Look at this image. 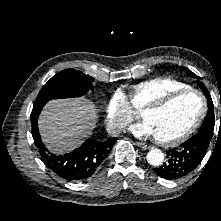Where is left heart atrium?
Wrapping results in <instances>:
<instances>
[{
    "label": "left heart atrium",
    "instance_id": "39dd6f15",
    "mask_svg": "<svg viewBox=\"0 0 221 221\" xmlns=\"http://www.w3.org/2000/svg\"><path fill=\"white\" fill-rule=\"evenodd\" d=\"M129 131L136 137L154 136V132L147 121H142L129 128Z\"/></svg>",
    "mask_w": 221,
    "mask_h": 221
}]
</instances>
